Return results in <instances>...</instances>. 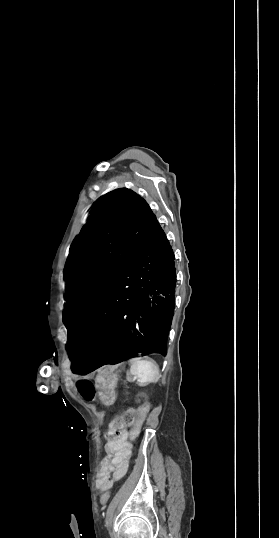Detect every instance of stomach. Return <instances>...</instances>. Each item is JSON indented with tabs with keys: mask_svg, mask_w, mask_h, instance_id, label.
<instances>
[{
	"mask_svg": "<svg viewBox=\"0 0 279 538\" xmlns=\"http://www.w3.org/2000/svg\"><path fill=\"white\" fill-rule=\"evenodd\" d=\"M118 371L117 365L109 367H101L99 374L102 379L98 381L97 390L100 395V400L104 402L106 407L114 404L117 400L116 385L112 383L114 380V372Z\"/></svg>",
	"mask_w": 279,
	"mask_h": 538,
	"instance_id": "obj_1",
	"label": "stomach"
}]
</instances>
